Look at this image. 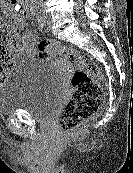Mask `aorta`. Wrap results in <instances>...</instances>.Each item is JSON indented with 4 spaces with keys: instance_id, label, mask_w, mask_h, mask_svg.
I'll list each match as a JSON object with an SVG mask.
<instances>
[{
    "instance_id": "1",
    "label": "aorta",
    "mask_w": 133,
    "mask_h": 173,
    "mask_svg": "<svg viewBox=\"0 0 133 173\" xmlns=\"http://www.w3.org/2000/svg\"><path fill=\"white\" fill-rule=\"evenodd\" d=\"M32 2H42V0H31Z\"/></svg>"
}]
</instances>
